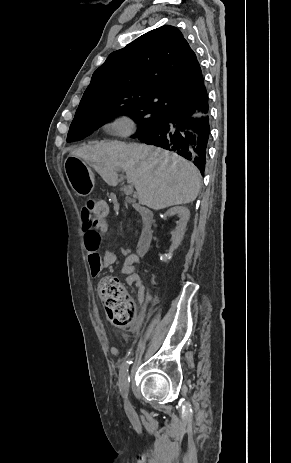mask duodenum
<instances>
[{
    "label": "duodenum",
    "mask_w": 291,
    "mask_h": 463,
    "mask_svg": "<svg viewBox=\"0 0 291 463\" xmlns=\"http://www.w3.org/2000/svg\"><path fill=\"white\" fill-rule=\"evenodd\" d=\"M134 213L141 215L144 224L137 244V253L144 255L148 251L153 238V212L150 209H146L143 203H138L134 208Z\"/></svg>",
    "instance_id": "duodenum-1"
}]
</instances>
